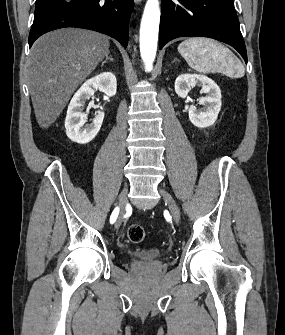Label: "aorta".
I'll list each match as a JSON object with an SVG mask.
<instances>
[{"mask_svg": "<svg viewBox=\"0 0 285 335\" xmlns=\"http://www.w3.org/2000/svg\"><path fill=\"white\" fill-rule=\"evenodd\" d=\"M160 8L158 0H148L140 28V54L144 62L145 72L153 70V62L157 52Z\"/></svg>", "mask_w": 285, "mask_h": 335, "instance_id": "762f6f07", "label": "aorta"}]
</instances>
